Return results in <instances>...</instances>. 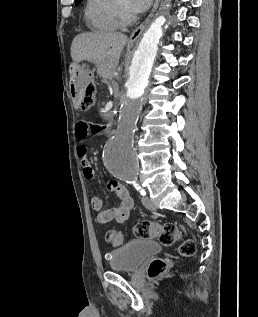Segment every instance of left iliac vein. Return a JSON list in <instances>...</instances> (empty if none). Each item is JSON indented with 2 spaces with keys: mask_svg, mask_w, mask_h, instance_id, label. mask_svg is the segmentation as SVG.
I'll list each match as a JSON object with an SVG mask.
<instances>
[{
  "mask_svg": "<svg viewBox=\"0 0 258 317\" xmlns=\"http://www.w3.org/2000/svg\"><path fill=\"white\" fill-rule=\"evenodd\" d=\"M142 203L150 211H155L156 210V205L153 204V201L147 195H142Z\"/></svg>",
  "mask_w": 258,
  "mask_h": 317,
  "instance_id": "1",
  "label": "left iliac vein"
}]
</instances>
